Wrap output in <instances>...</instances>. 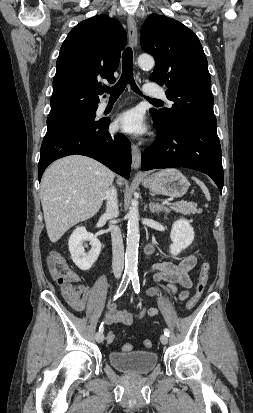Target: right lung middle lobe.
<instances>
[{
    "label": "right lung middle lobe",
    "instance_id": "right-lung-middle-lobe-1",
    "mask_svg": "<svg viewBox=\"0 0 253 413\" xmlns=\"http://www.w3.org/2000/svg\"><path fill=\"white\" fill-rule=\"evenodd\" d=\"M97 107L72 111L56 116H48L47 132L73 126H90L98 124L95 120Z\"/></svg>",
    "mask_w": 253,
    "mask_h": 413
}]
</instances>
